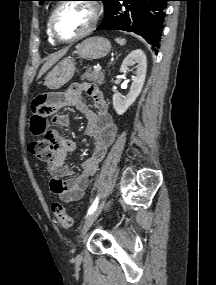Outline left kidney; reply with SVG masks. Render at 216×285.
I'll return each instance as SVG.
<instances>
[{
	"label": "left kidney",
	"instance_id": "5707ae66",
	"mask_svg": "<svg viewBox=\"0 0 216 285\" xmlns=\"http://www.w3.org/2000/svg\"><path fill=\"white\" fill-rule=\"evenodd\" d=\"M136 65V73L133 77L130 92L127 96H122L119 93L113 95V106L118 115H123L127 109L134 103L136 98L141 93L144 85L146 70H147V59L146 55L141 49H136L130 52L122 62L120 72L126 73L130 71L129 67Z\"/></svg>",
	"mask_w": 216,
	"mask_h": 285
}]
</instances>
